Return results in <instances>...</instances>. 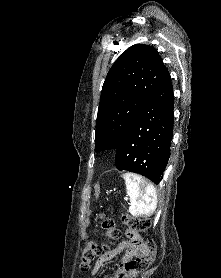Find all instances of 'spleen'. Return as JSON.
<instances>
[{"label": "spleen", "mask_w": 221, "mask_h": 278, "mask_svg": "<svg viewBox=\"0 0 221 278\" xmlns=\"http://www.w3.org/2000/svg\"><path fill=\"white\" fill-rule=\"evenodd\" d=\"M130 197L129 212L134 217H150L156 210L158 198L155 187L133 173L122 175Z\"/></svg>", "instance_id": "obj_1"}]
</instances>
